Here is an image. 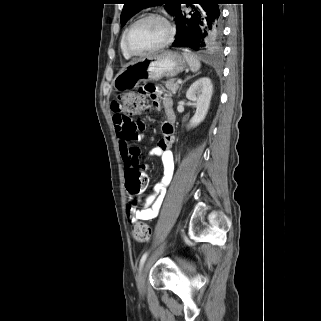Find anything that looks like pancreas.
<instances>
[{"label": "pancreas", "mask_w": 321, "mask_h": 321, "mask_svg": "<svg viewBox=\"0 0 321 321\" xmlns=\"http://www.w3.org/2000/svg\"><path fill=\"white\" fill-rule=\"evenodd\" d=\"M164 84L165 87L173 94H175L177 89L179 88V84H177L174 79H170L164 82Z\"/></svg>", "instance_id": "obj_1"}]
</instances>
